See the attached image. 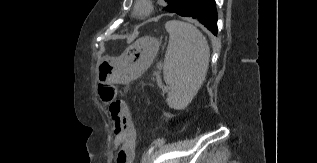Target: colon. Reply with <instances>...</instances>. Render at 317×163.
<instances>
[{
    "label": "colon",
    "mask_w": 317,
    "mask_h": 163,
    "mask_svg": "<svg viewBox=\"0 0 317 163\" xmlns=\"http://www.w3.org/2000/svg\"><path fill=\"white\" fill-rule=\"evenodd\" d=\"M100 99L105 103H110V113L113 116L124 114V104L116 101V88L113 85L105 84L99 88Z\"/></svg>",
    "instance_id": "1"
}]
</instances>
